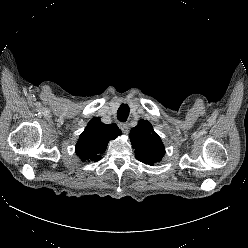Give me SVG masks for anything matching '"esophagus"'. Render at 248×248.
Wrapping results in <instances>:
<instances>
[{
	"label": "esophagus",
	"mask_w": 248,
	"mask_h": 248,
	"mask_svg": "<svg viewBox=\"0 0 248 248\" xmlns=\"http://www.w3.org/2000/svg\"><path fill=\"white\" fill-rule=\"evenodd\" d=\"M119 127L123 133L127 134L129 132V124L128 123H120Z\"/></svg>",
	"instance_id": "34e87169"
}]
</instances>
